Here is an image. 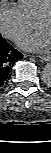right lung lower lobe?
I'll return each instance as SVG.
<instances>
[{"label":"right lung lower lobe","mask_w":51,"mask_h":153,"mask_svg":"<svg viewBox=\"0 0 51 153\" xmlns=\"http://www.w3.org/2000/svg\"><path fill=\"white\" fill-rule=\"evenodd\" d=\"M22 58V53L14 49L0 35V87L8 82L14 63Z\"/></svg>","instance_id":"right-lung-lower-lobe-1"}]
</instances>
